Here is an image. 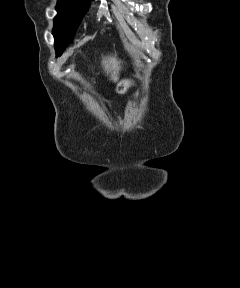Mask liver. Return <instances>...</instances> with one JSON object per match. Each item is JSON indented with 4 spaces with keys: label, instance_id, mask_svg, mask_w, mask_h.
<instances>
[{
    "label": "liver",
    "instance_id": "liver-1",
    "mask_svg": "<svg viewBox=\"0 0 240 288\" xmlns=\"http://www.w3.org/2000/svg\"><path fill=\"white\" fill-rule=\"evenodd\" d=\"M102 64L105 71H107V73H111V79L113 81H117L120 70V62L116 59V57H106L103 59Z\"/></svg>",
    "mask_w": 240,
    "mask_h": 288
}]
</instances>
